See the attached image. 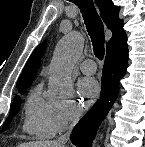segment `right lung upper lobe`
Returning <instances> with one entry per match:
<instances>
[{"label": "right lung upper lobe", "instance_id": "right-lung-upper-lobe-1", "mask_svg": "<svg viewBox=\"0 0 145 147\" xmlns=\"http://www.w3.org/2000/svg\"><path fill=\"white\" fill-rule=\"evenodd\" d=\"M96 4L104 23L113 33L112 38L107 43V47H109L111 43L125 34L123 22L119 19V9L113 5L111 0H96ZM44 48L45 43H42L33 51L17 82L18 89L28 87L33 81Z\"/></svg>", "mask_w": 145, "mask_h": 147}]
</instances>
